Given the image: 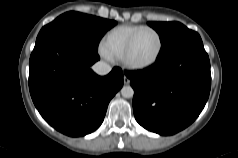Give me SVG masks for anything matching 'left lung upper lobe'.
Wrapping results in <instances>:
<instances>
[{
    "instance_id": "5c2ea615",
    "label": "left lung upper lobe",
    "mask_w": 238,
    "mask_h": 158,
    "mask_svg": "<svg viewBox=\"0 0 238 158\" xmlns=\"http://www.w3.org/2000/svg\"><path fill=\"white\" fill-rule=\"evenodd\" d=\"M148 25L155 29L162 43L159 55L178 46L181 43L199 38V34L185 27L179 22H148Z\"/></svg>"
}]
</instances>
